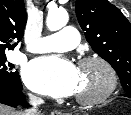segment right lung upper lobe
I'll use <instances>...</instances> for the list:
<instances>
[{
  "instance_id": "cb5924a9",
  "label": "right lung upper lobe",
  "mask_w": 131,
  "mask_h": 115,
  "mask_svg": "<svg viewBox=\"0 0 131 115\" xmlns=\"http://www.w3.org/2000/svg\"><path fill=\"white\" fill-rule=\"evenodd\" d=\"M27 18L23 0H0V53L13 50L23 37Z\"/></svg>"
}]
</instances>
